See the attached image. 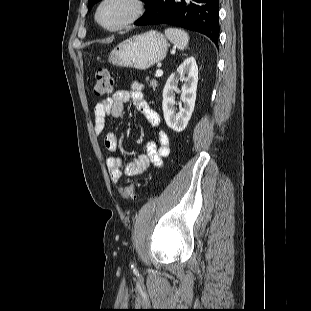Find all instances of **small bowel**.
I'll return each instance as SVG.
<instances>
[{
  "label": "small bowel",
  "instance_id": "1",
  "mask_svg": "<svg viewBox=\"0 0 311 311\" xmlns=\"http://www.w3.org/2000/svg\"><path fill=\"white\" fill-rule=\"evenodd\" d=\"M132 102L134 107L145 117L152 127L160 124L159 114L150 107L138 83H133L131 90H117L111 97L99 101L94 109L92 122L96 135L103 133L107 117L118 118L124 110V106ZM103 143L108 152H115L117 149V137L113 132L105 134ZM145 153L137 156L131 162L124 163L120 156L111 155L106 159V167L113 182H118L123 174L129 176H140L153 164L160 167L163 158L170 152V139L168 134L159 130L157 142L149 140L145 143Z\"/></svg>",
  "mask_w": 311,
  "mask_h": 311
}]
</instances>
